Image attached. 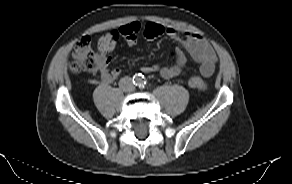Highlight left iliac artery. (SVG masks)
I'll return each instance as SVG.
<instances>
[{
	"instance_id": "1",
	"label": "left iliac artery",
	"mask_w": 292,
	"mask_h": 184,
	"mask_svg": "<svg viewBox=\"0 0 292 184\" xmlns=\"http://www.w3.org/2000/svg\"><path fill=\"white\" fill-rule=\"evenodd\" d=\"M145 84H146V81H144V82L142 83V87H144V86H145Z\"/></svg>"
}]
</instances>
